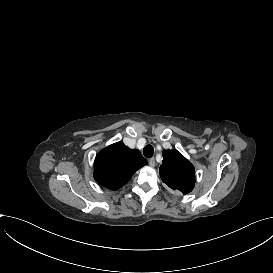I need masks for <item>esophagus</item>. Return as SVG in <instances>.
I'll return each mask as SVG.
<instances>
[{"label": "esophagus", "instance_id": "34e87169", "mask_svg": "<svg viewBox=\"0 0 273 273\" xmlns=\"http://www.w3.org/2000/svg\"><path fill=\"white\" fill-rule=\"evenodd\" d=\"M149 165H150L151 167H154V166H155V159H154V158H150V159H149Z\"/></svg>", "mask_w": 273, "mask_h": 273}]
</instances>
